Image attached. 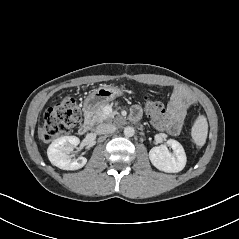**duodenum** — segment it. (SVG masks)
I'll return each instance as SVG.
<instances>
[{"label":"duodenum","instance_id":"obj_1","mask_svg":"<svg viewBox=\"0 0 239 239\" xmlns=\"http://www.w3.org/2000/svg\"><path fill=\"white\" fill-rule=\"evenodd\" d=\"M91 127H92V121L90 118V114L86 113L84 121L82 122V124L80 125V127L78 129V133L80 135H85L87 132H89Z\"/></svg>","mask_w":239,"mask_h":239}]
</instances>
